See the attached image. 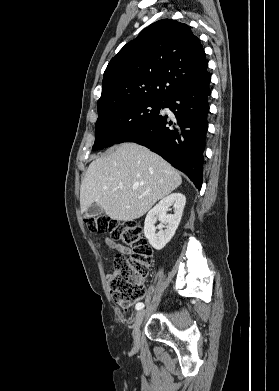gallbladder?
I'll return each instance as SVG.
<instances>
[{
  "label": "gallbladder",
  "mask_w": 279,
  "mask_h": 391,
  "mask_svg": "<svg viewBox=\"0 0 279 391\" xmlns=\"http://www.w3.org/2000/svg\"><path fill=\"white\" fill-rule=\"evenodd\" d=\"M103 212V209L96 203H94L93 205H91L87 211H86V216L87 217H97L99 215H101Z\"/></svg>",
  "instance_id": "gallbladder-1"
}]
</instances>
